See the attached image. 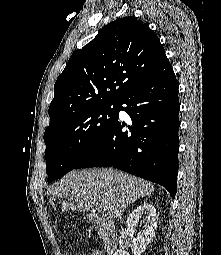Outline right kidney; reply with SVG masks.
<instances>
[{
    "instance_id": "right-kidney-1",
    "label": "right kidney",
    "mask_w": 221,
    "mask_h": 255,
    "mask_svg": "<svg viewBox=\"0 0 221 255\" xmlns=\"http://www.w3.org/2000/svg\"><path fill=\"white\" fill-rule=\"evenodd\" d=\"M138 222L143 224V230L134 239L132 247L133 255H141L154 237L157 226V215L156 209L152 204L144 202L129 214L126 219L127 230L129 232L134 231ZM114 255H129V253L123 249H117Z\"/></svg>"
}]
</instances>
